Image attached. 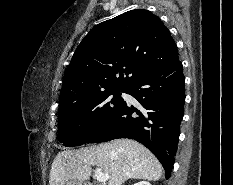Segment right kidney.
<instances>
[{"label": "right kidney", "instance_id": "ca27d5eb", "mask_svg": "<svg viewBox=\"0 0 233 185\" xmlns=\"http://www.w3.org/2000/svg\"><path fill=\"white\" fill-rule=\"evenodd\" d=\"M133 185H151V184L149 182H146V181H141V182L135 183Z\"/></svg>", "mask_w": 233, "mask_h": 185}]
</instances>
